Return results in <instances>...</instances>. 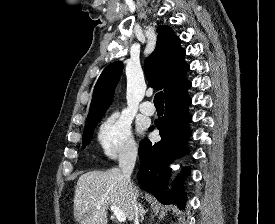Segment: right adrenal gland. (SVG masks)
Returning a JSON list of instances; mask_svg holds the SVG:
<instances>
[{
  "mask_svg": "<svg viewBox=\"0 0 275 224\" xmlns=\"http://www.w3.org/2000/svg\"><path fill=\"white\" fill-rule=\"evenodd\" d=\"M148 210H145L142 206V204H139V216H140V221L142 222L144 220V215L147 213Z\"/></svg>",
  "mask_w": 275,
  "mask_h": 224,
  "instance_id": "right-adrenal-gland-1",
  "label": "right adrenal gland"
}]
</instances>
